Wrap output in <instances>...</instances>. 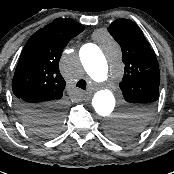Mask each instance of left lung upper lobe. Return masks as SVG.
Wrapping results in <instances>:
<instances>
[{"instance_id":"left-lung-upper-lobe-1","label":"left lung upper lobe","mask_w":174,"mask_h":174,"mask_svg":"<svg viewBox=\"0 0 174 174\" xmlns=\"http://www.w3.org/2000/svg\"><path fill=\"white\" fill-rule=\"evenodd\" d=\"M108 31L122 49L125 71L119 86L130 113L126 131L115 127L111 134L126 139L142 130L153 116L159 97V64L149 42L131 20L118 19Z\"/></svg>"}]
</instances>
